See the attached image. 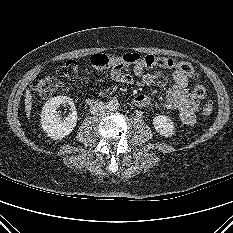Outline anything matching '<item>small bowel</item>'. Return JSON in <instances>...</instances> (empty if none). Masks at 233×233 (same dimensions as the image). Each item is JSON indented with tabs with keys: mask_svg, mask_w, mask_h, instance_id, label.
I'll list each match as a JSON object with an SVG mask.
<instances>
[{
	"mask_svg": "<svg viewBox=\"0 0 233 233\" xmlns=\"http://www.w3.org/2000/svg\"><path fill=\"white\" fill-rule=\"evenodd\" d=\"M109 67H111V77L115 81L127 85L138 83L142 86H148L158 81H168L170 86L166 91L163 107L176 111L184 124L193 125L195 123V112L201 98L188 88V76L186 74L175 69L169 73L162 69L149 72L146 67L139 64L113 63ZM133 103L139 108H148L153 104L150 97L145 94L137 95Z\"/></svg>",
	"mask_w": 233,
	"mask_h": 233,
	"instance_id": "obj_1",
	"label": "small bowel"
}]
</instances>
